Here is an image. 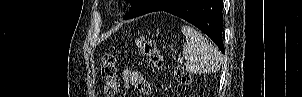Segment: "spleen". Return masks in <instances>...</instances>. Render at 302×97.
<instances>
[{
	"label": "spleen",
	"mask_w": 302,
	"mask_h": 97,
	"mask_svg": "<svg viewBox=\"0 0 302 97\" xmlns=\"http://www.w3.org/2000/svg\"><path fill=\"white\" fill-rule=\"evenodd\" d=\"M181 32L186 39L183 45L186 70L199 74L218 71L221 65V53L218 48L189 25H184Z\"/></svg>",
	"instance_id": "obj_1"
}]
</instances>
